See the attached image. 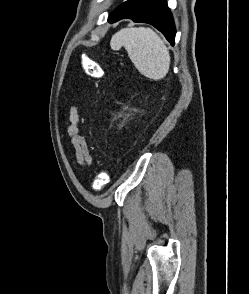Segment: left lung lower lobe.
Masks as SVG:
<instances>
[{
    "instance_id": "1",
    "label": "left lung lower lobe",
    "mask_w": 249,
    "mask_h": 294,
    "mask_svg": "<svg viewBox=\"0 0 249 294\" xmlns=\"http://www.w3.org/2000/svg\"><path fill=\"white\" fill-rule=\"evenodd\" d=\"M123 18L153 25L174 45L176 30L166 0L125 1L109 15L108 21L113 23Z\"/></svg>"
}]
</instances>
